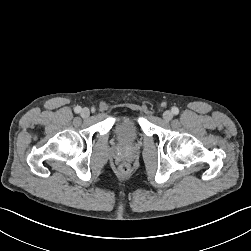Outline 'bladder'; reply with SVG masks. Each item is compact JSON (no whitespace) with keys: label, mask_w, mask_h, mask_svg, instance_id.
Returning <instances> with one entry per match:
<instances>
[{"label":"bladder","mask_w":251,"mask_h":251,"mask_svg":"<svg viewBox=\"0 0 251 251\" xmlns=\"http://www.w3.org/2000/svg\"><path fill=\"white\" fill-rule=\"evenodd\" d=\"M138 130V123L133 117L122 118L115 126V133L118 139L122 142H130L135 139Z\"/></svg>","instance_id":"obj_1"}]
</instances>
